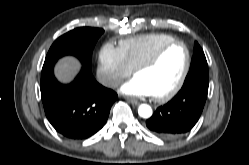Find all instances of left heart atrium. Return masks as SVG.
<instances>
[{"instance_id":"1","label":"left heart atrium","mask_w":249,"mask_h":165,"mask_svg":"<svg viewBox=\"0 0 249 165\" xmlns=\"http://www.w3.org/2000/svg\"><path fill=\"white\" fill-rule=\"evenodd\" d=\"M121 92L128 96L145 97L152 96V93L145 82L135 76L121 86Z\"/></svg>"}]
</instances>
